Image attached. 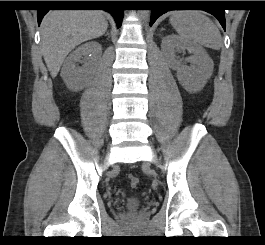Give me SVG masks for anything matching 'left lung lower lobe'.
<instances>
[{
  "label": "left lung lower lobe",
  "instance_id": "left-lung-lower-lobe-1",
  "mask_svg": "<svg viewBox=\"0 0 265 245\" xmlns=\"http://www.w3.org/2000/svg\"><path fill=\"white\" fill-rule=\"evenodd\" d=\"M155 8L151 10L150 26L156 21V19L167 11L174 10L171 7H193L196 4L193 1H156ZM214 15L222 25L223 29H226V21L224 16V10L221 8H212L205 10Z\"/></svg>",
  "mask_w": 265,
  "mask_h": 245
}]
</instances>
